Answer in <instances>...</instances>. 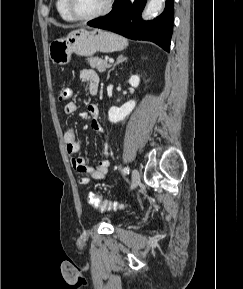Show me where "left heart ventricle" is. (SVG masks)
<instances>
[{"mask_svg": "<svg viewBox=\"0 0 243 289\" xmlns=\"http://www.w3.org/2000/svg\"><path fill=\"white\" fill-rule=\"evenodd\" d=\"M107 0H73L74 11L80 16H90L101 11Z\"/></svg>", "mask_w": 243, "mask_h": 289, "instance_id": "1", "label": "left heart ventricle"}]
</instances>
